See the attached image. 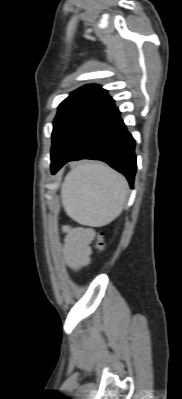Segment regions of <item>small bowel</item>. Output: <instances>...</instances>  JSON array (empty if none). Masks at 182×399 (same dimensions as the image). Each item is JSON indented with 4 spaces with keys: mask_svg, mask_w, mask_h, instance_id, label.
<instances>
[{
    "mask_svg": "<svg viewBox=\"0 0 182 399\" xmlns=\"http://www.w3.org/2000/svg\"><path fill=\"white\" fill-rule=\"evenodd\" d=\"M65 240L59 246L65 264L73 271L87 266L92 253L95 230L92 227H64Z\"/></svg>",
    "mask_w": 182,
    "mask_h": 399,
    "instance_id": "obj_1",
    "label": "small bowel"
}]
</instances>
